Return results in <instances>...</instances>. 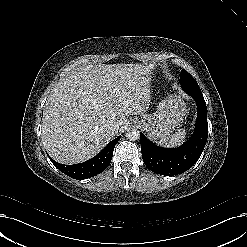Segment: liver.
I'll list each match as a JSON object with an SVG mask.
<instances>
[{
	"instance_id": "liver-1",
	"label": "liver",
	"mask_w": 247,
	"mask_h": 247,
	"mask_svg": "<svg viewBox=\"0 0 247 247\" xmlns=\"http://www.w3.org/2000/svg\"><path fill=\"white\" fill-rule=\"evenodd\" d=\"M153 64L87 65L60 80L50 93L42 119L48 154L62 164L84 162L129 124L130 115L150 104ZM118 123L116 133L108 130Z\"/></svg>"
}]
</instances>
